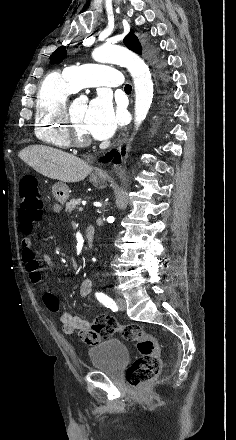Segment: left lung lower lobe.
<instances>
[{
    "label": "left lung lower lobe",
    "mask_w": 236,
    "mask_h": 440,
    "mask_svg": "<svg viewBox=\"0 0 236 440\" xmlns=\"http://www.w3.org/2000/svg\"><path fill=\"white\" fill-rule=\"evenodd\" d=\"M125 152L122 151V154H124ZM121 156L119 152H116V150H112L111 152L107 153L103 158H101L102 162H108L110 160L113 159L114 163H120L121 161Z\"/></svg>",
    "instance_id": "obj_1"
}]
</instances>
